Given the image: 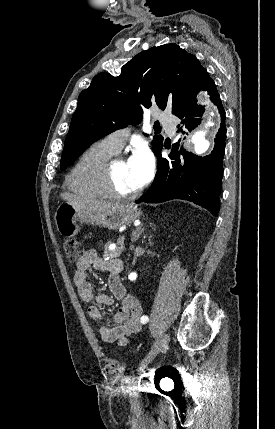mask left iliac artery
<instances>
[{"label": "left iliac artery", "instance_id": "44dca946", "mask_svg": "<svg viewBox=\"0 0 275 429\" xmlns=\"http://www.w3.org/2000/svg\"><path fill=\"white\" fill-rule=\"evenodd\" d=\"M148 321H149L148 316L144 315V316L141 317V323L142 324H146Z\"/></svg>", "mask_w": 275, "mask_h": 429}]
</instances>
